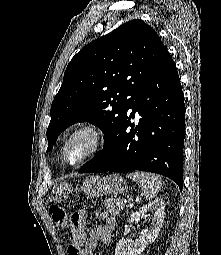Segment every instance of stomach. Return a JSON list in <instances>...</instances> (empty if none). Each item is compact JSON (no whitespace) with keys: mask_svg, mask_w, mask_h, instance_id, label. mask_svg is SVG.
Listing matches in <instances>:
<instances>
[{"mask_svg":"<svg viewBox=\"0 0 221 255\" xmlns=\"http://www.w3.org/2000/svg\"><path fill=\"white\" fill-rule=\"evenodd\" d=\"M80 189L88 198H97L104 194L124 193L127 189V183L119 175L88 176L84 179ZM72 192L73 188L68 183H59L51 189L50 199L54 202H61L68 198Z\"/></svg>","mask_w":221,"mask_h":255,"instance_id":"stomach-1","label":"stomach"}]
</instances>
